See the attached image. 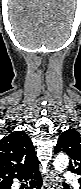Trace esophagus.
Returning a JSON list of instances; mask_svg holds the SVG:
<instances>
[{
  "mask_svg": "<svg viewBox=\"0 0 81 189\" xmlns=\"http://www.w3.org/2000/svg\"><path fill=\"white\" fill-rule=\"evenodd\" d=\"M57 176L54 171H51L48 175V179L44 182V189H56Z\"/></svg>",
  "mask_w": 81,
  "mask_h": 189,
  "instance_id": "esophagus-1",
  "label": "esophagus"
}]
</instances>
